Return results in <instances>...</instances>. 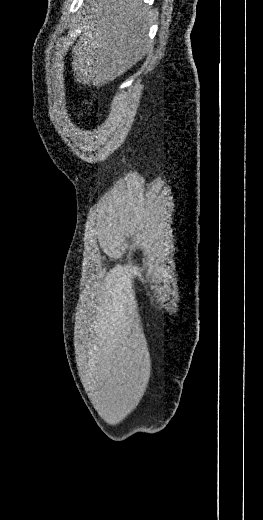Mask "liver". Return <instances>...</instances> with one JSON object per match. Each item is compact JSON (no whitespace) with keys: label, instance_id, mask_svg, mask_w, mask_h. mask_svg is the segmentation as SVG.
I'll return each instance as SVG.
<instances>
[{"label":"liver","instance_id":"6515ba94","mask_svg":"<svg viewBox=\"0 0 263 520\" xmlns=\"http://www.w3.org/2000/svg\"><path fill=\"white\" fill-rule=\"evenodd\" d=\"M84 12L72 70L77 82L100 87L145 56L152 14L142 0H88Z\"/></svg>","mask_w":263,"mask_h":520}]
</instances>
